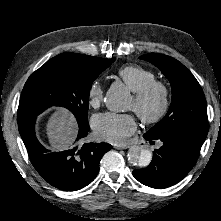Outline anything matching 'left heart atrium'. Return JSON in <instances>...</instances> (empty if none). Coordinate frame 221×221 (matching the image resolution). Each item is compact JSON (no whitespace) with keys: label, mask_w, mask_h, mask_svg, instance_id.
I'll use <instances>...</instances> for the list:
<instances>
[{"label":"left heart atrium","mask_w":221,"mask_h":221,"mask_svg":"<svg viewBox=\"0 0 221 221\" xmlns=\"http://www.w3.org/2000/svg\"><path fill=\"white\" fill-rule=\"evenodd\" d=\"M92 126L97 136L105 141L122 144L137 128L132 114L101 113L94 116Z\"/></svg>","instance_id":"obj_1"}]
</instances>
